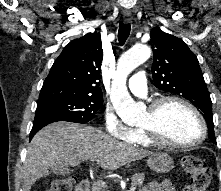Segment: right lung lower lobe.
<instances>
[{
  "label": "right lung lower lobe",
  "instance_id": "right-lung-lower-lobe-1",
  "mask_svg": "<svg viewBox=\"0 0 221 191\" xmlns=\"http://www.w3.org/2000/svg\"><path fill=\"white\" fill-rule=\"evenodd\" d=\"M61 121L58 117L53 115L51 112L41 109L36 110L35 119L33 123V128L30 133V140L33 138V136L44 126L53 123Z\"/></svg>",
  "mask_w": 221,
  "mask_h": 191
}]
</instances>
